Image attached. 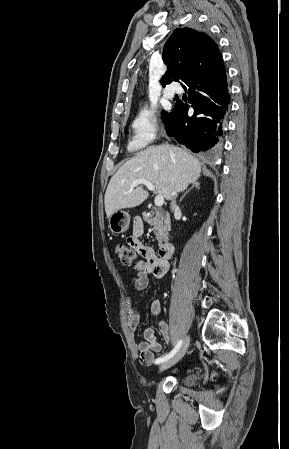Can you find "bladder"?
<instances>
[{"label": "bladder", "mask_w": 289, "mask_h": 449, "mask_svg": "<svg viewBox=\"0 0 289 449\" xmlns=\"http://www.w3.org/2000/svg\"><path fill=\"white\" fill-rule=\"evenodd\" d=\"M198 378V374L197 373H190L188 375H186L182 380L181 383L185 386H189L192 385L193 383H195V381Z\"/></svg>", "instance_id": "obj_1"}]
</instances>
